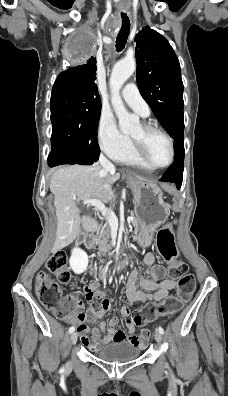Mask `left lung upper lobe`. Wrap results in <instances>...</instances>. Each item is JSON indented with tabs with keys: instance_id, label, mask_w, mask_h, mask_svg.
<instances>
[{
	"instance_id": "left-lung-upper-lobe-1",
	"label": "left lung upper lobe",
	"mask_w": 228,
	"mask_h": 396,
	"mask_svg": "<svg viewBox=\"0 0 228 396\" xmlns=\"http://www.w3.org/2000/svg\"><path fill=\"white\" fill-rule=\"evenodd\" d=\"M137 84L162 127L184 132L183 83L178 58L165 37L145 27L136 37Z\"/></svg>"
}]
</instances>
